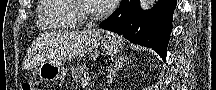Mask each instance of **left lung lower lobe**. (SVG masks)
Here are the masks:
<instances>
[{
  "label": "left lung lower lobe",
  "mask_w": 216,
  "mask_h": 90,
  "mask_svg": "<svg viewBox=\"0 0 216 90\" xmlns=\"http://www.w3.org/2000/svg\"><path fill=\"white\" fill-rule=\"evenodd\" d=\"M176 4V0H158L152 9L143 11L139 0H122L100 27L154 49L165 61Z\"/></svg>",
  "instance_id": "obj_1"
}]
</instances>
